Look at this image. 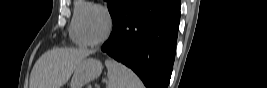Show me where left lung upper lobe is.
Here are the masks:
<instances>
[{
	"label": "left lung upper lobe",
	"mask_w": 267,
	"mask_h": 88,
	"mask_svg": "<svg viewBox=\"0 0 267 88\" xmlns=\"http://www.w3.org/2000/svg\"><path fill=\"white\" fill-rule=\"evenodd\" d=\"M113 23L130 0H106Z\"/></svg>",
	"instance_id": "left-lung-upper-lobe-1"
}]
</instances>
